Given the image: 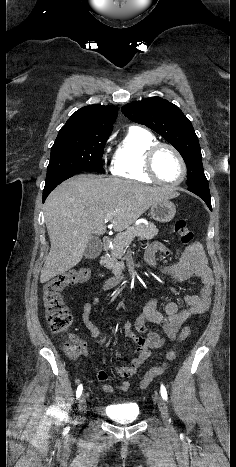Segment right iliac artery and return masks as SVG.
Instances as JSON below:
<instances>
[{
	"instance_id": "82829eb1",
	"label": "right iliac artery",
	"mask_w": 236,
	"mask_h": 467,
	"mask_svg": "<svg viewBox=\"0 0 236 467\" xmlns=\"http://www.w3.org/2000/svg\"><path fill=\"white\" fill-rule=\"evenodd\" d=\"M82 391H83V386L82 384H80L77 388V391H76V397L79 398L82 394Z\"/></svg>"
}]
</instances>
